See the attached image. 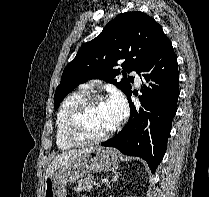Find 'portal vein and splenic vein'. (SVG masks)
<instances>
[{
    "label": "portal vein and splenic vein",
    "instance_id": "portal-vein-and-splenic-vein-1",
    "mask_svg": "<svg viewBox=\"0 0 209 197\" xmlns=\"http://www.w3.org/2000/svg\"><path fill=\"white\" fill-rule=\"evenodd\" d=\"M108 182V179H106V178H104V179H102V183H107Z\"/></svg>",
    "mask_w": 209,
    "mask_h": 197
}]
</instances>
